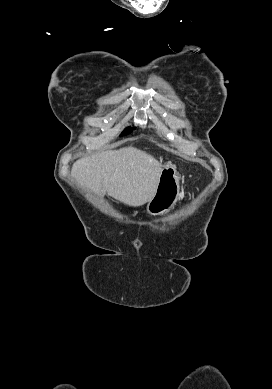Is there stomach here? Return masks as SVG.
Segmentation results:
<instances>
[{
    "mask_svg": "<svg viewBox=\"0 0 272 389\" xmlns=\"http://www.w3.org/2000/svg\"><path fill=\"white\" fill-rule=\"evenodd\" d=\"M179 174L172 164L163 166L154 196L148 202L147 212L156 216L174 207L180 195Z\"/></svg>",
    "mask_w": 272,
    "mask_h": 389,
    "instance_id": "obj_1",
    "label": "stomach"
}]
</instances>
